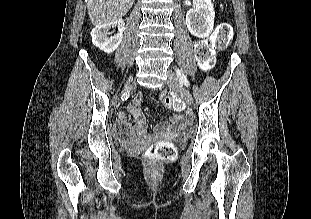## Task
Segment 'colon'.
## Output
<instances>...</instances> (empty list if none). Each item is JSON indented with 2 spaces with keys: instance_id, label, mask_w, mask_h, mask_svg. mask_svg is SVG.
I'll return each mask as SVG.
<instances>
[{
  "instance_id": "colon-1",
  "label": "colon",
  "mask_w": 311,
  "mask_h": 219,
  "mask_svg": "<svg viewBox=\"0 0 311 219\" xmlns=\"http://www.w3.org/2000/svg\"><path fill=\"white\" fill-rule=\"evenodd\" d=\"M232 28L229 23H219L209 38L201 40L195 47V56L202 65H210L213 62V49L225 50L232 39ZM164 104L170 109L179 108L176 100L164 96ZM121 131H125L121 129ZM175 154V147L169 141H157L150 145L145 155L154 169L163 161L171 159Z\"/></svg>"
}]
</instances>
